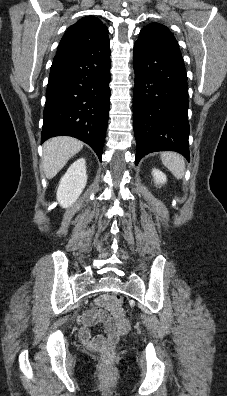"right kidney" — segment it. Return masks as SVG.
Segmentation results:
<instances>
[{
	"instance_id": "obj_1",
	"label": "right kidney",
	"mask_w": 227,
	"mask_h": 396,
	"mask_svg": "<svg viewBox=\"0 0 227 396\" xmlns=\"http://www.w3.org/2000/svg\"><path fill=\"white\" fill-rule=\"evenodd\" d=\"M87 183L86 162L75 161L63 176L57 189V201L63 208L71 206L80 196Z\"/></svg>"
}]
</instances>
